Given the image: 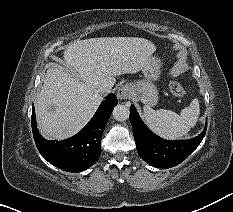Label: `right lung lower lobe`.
<instances>
[{
  "instance_id": "98d812e1",
  "label": "right lung lower lobe",
  "mask_w": 233,
  "mask_h": 212,
  "mask_svg": "<svg viewBox=\"0 0 233 212\" xmlns=\"http://www.w3.org/2000/svg\"><path fill=\"white\" fill-rule=\"evenodd\" d=\"M116 105L117 98L114 93H110L90 122L76 135L62 141L46 140L40 135L32 106V131L40 154L64 171L75 173L88 169L97 162L101 154V135Z\"/></svg>"
}]
</instances>
